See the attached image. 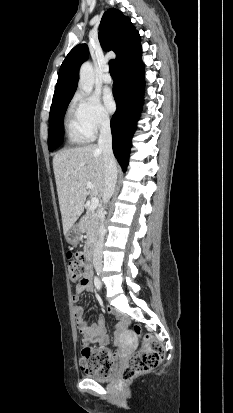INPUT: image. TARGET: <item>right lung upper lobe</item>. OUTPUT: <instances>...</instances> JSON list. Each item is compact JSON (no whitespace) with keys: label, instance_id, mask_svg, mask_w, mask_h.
Returning <instances> with one entry per match:
<instances>
[{"label":"right lung upper lobe","instance_id":"cb5924a9","mask_svg":"<svg viewBox=\"0 0 233 413\" xmlns=\"http://www.w3.org/2000/svg\"><path fill=\"white\" fill-rule=\"evenodd\" d=\"M99 40L104 50L116 53V63L130 56L140 46V36L130 19L117 9H108L100 22ZM88 58L86 44L75 46L63 61L56 84L53 102L55 104L73 97L77 87L78 68Z\"/></svg>","mask_w":233,"mask_h":413}]
</instances>
